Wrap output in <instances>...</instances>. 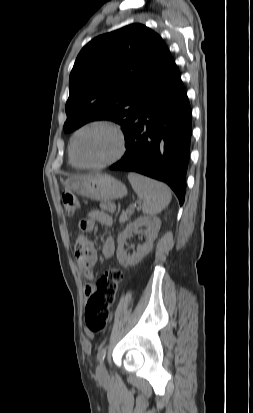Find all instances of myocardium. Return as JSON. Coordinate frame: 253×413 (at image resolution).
Returning <instances> with one entry per match:
<instances>
[{
    "instance_id": "obj_1",
    "label": "myocardium",
    "mask_w": 253,
    "mask_h": 413,
    "mask_svg": "<svg viewBox=\"0 0 253 413\" xmlns=\"http://www.w3.org/2000/svg\"><path fill=\"white\" fill-rule=\"evenodd\" d=\"M93 127H105L109 129L116 138L117 148H116L115 153L111 157H109L108 159L102 162L95 163V164H84L78 161V159L75 156V142H76L77 137L83 131L93 128ZM125 151H126V139H125L124 132L119 124L109 119H95V120H91L83 124L73 133L71 140H70V145H69V154H70V158L72 162L77 167H80L83 169H101V168L110 166L116 163L117 161H119L123 157Z\"/></svg>"
}]
</instances>
